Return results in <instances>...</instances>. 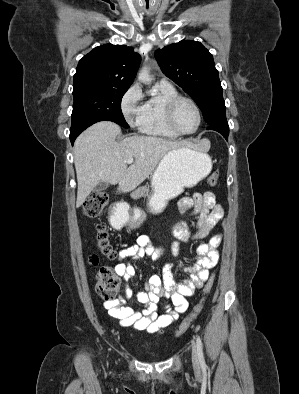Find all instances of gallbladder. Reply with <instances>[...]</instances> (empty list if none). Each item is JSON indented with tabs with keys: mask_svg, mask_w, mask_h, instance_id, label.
<instances>
[{
	"mask_svg": "<svg viewBox=\"0 0 299 394\" xmlns=\"http://www.w3.org/2000/svg\"><path fill=\"white\" fill-rule=\"evenodd\" d=\"M108 185H109V184H108L107 182L100 181V182L96 185V187L94 188V191H95V192L104 191L105 189H107Z\"/></svg>",
	"mask_w": 299,
	"mask_h": 394,
	"instance_id": "obj_1",
	"label": "gallbladder"
}]
</instances>
